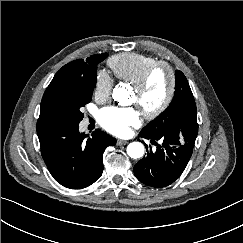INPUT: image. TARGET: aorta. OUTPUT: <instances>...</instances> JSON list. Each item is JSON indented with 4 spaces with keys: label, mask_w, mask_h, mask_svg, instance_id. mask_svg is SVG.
Masks as SVG:
<instances>
[{
    "label": "aorta",
    "mask_w": 243,
    "mask_h": 243,
    "mask_svg": "<svg viewBox=\"0 0 243 243\" xmlns=\"http://www.w3.org/2000/svg\"><path fill=\"white\" fill-rule=\"evenodd\" d=\"M113 98L119 102H124L128 99L129 93L124 88H115L113 90ZM145 148L140 142H132L127 146V154L132 159H138L144 155Z\"/></svg>",
    "instance_id": "762f6f07"
}]
</instances>
